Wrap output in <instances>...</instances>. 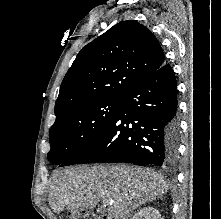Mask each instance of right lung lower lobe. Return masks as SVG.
<instances>
[{"instance_id": "obj_1", "label": "right lung lower lobe", "mask_w": 221, "mask_h": 219, "mask_svg": "<svg viewBox=\"0 0 221 219\" xmlns=\"http://www.w3.org/2000/svg\"><path fill=\"white\" fill-rule=\"evenodd\" d=\"M179 135L177 82L164 63L130 88L102 132L61 166L94 162L173 166Z\"/></svg>"}]
</instances>
